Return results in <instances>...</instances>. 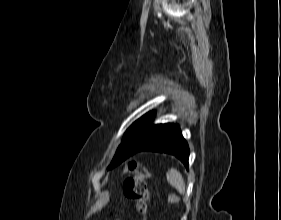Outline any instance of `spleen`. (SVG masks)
<instances>
[{
  "label": "spleen",
  "mask_w": 281,
  "mask_h": 220,
  "mask_svg": "<svg viewBox=\"0 0 281 220\" xmlns=\"http://www.w3.org/2000/svg\"><path fill=\"white\" fill-rule=\"evenodd\" d=\"M166 177H167V181L172 187L177 189V191L180 194H185V190H186L185 181L181 173L177 169L175 168L169 169L166 174Z\"/></svg>",
  "instance_id": "3e777b00"
}]
</instances>
